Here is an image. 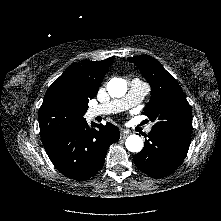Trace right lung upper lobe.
<instances>
[{
	"instance_id": "obj_1",
	"label": "right lung upper lobe",
	"mask_w": 221,
	"mask_h": 221,
	"mask_svg": "<svg viewBox=\"0 0 221 221\" xmlns=\"http://www.w3.org/2000/svg\"><path fill=\"white\" fill-rule=\"evenodd\" d=\"M113 62L103 61L72 63L47 90L39 109L40 136L44 147L62 139L85 118L88 102Z\"/></svg>"
}]
</instances>
